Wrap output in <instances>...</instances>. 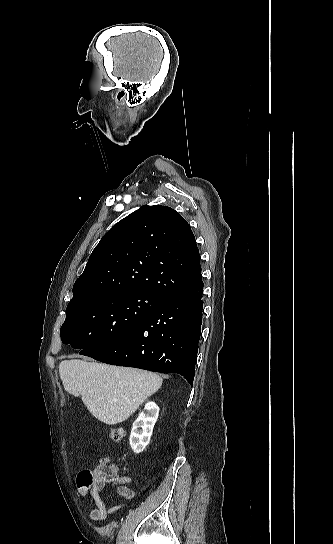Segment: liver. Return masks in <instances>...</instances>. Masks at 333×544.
<instances>
[{
	"label": "liver",
	"mask_w": 333,
	"mask_h": 544,
	"mask_svg": "<svg viewBox=\"0 0 333 544\" xmlns=\"http://www.w3.org/2000/svg\"><path fill=\"white\" fill-rule=\"evenodd\" d=\"M59 374L65 390L81 395L89 412L107 425L125 421L162 384L153 372L77 359L62 361Z\"/></svg>",
	"instance_id": "6515ba94"
}]
</instances>
